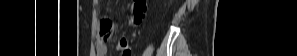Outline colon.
I'll return each mask as SVG.
<instances>
[{
  "label": "colon",
  "mask_w": 297,
  "mask_h": 56,
  "mask_svg": "<svg viewBox=\"0 0 297 56\" xmlns=\"http://www.w3.org/2000/svg\"><path fill=\"white\" fill-rule=\"evenodd\" d=\"M147 12L146 0H135L133 5V23L139 24L145 18ZM99 36L102 43L112 40L113 37V23L110 19H102L99 27Z\"/></svg>",
  "instance_id": "1"
}]
</instances>
